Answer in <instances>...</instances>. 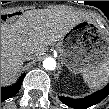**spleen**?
<instances>
[{
    "label": "spleen",
    "mask_w": 109,
    "mask_h": 109,
    "mask_svg": "<svg viewBox=\"0 0 109 109\" xmlns=\"http://www.w3.org/2000/svg\"><path fill=\"white\" fill-rule=\"evenodd\" d=\"M84 82L91 89H99L109 82V61L99 67L83 73Z\"/></svg>",
    "instance_id": "3e777b00"
}]
</instances>
